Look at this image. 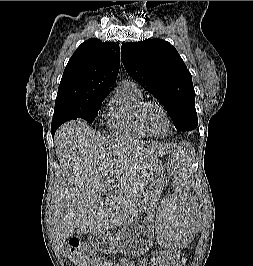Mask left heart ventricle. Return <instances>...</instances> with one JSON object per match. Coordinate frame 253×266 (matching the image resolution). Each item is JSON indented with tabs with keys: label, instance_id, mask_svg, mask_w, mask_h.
I'll list each match as a JSON object with an SVG mask.
<instances>
[{
	"label": "left heart ventricle",
	"instance_id": "b2bd125f",
	"mask_svg": "<svg viewBox=\"0 0 253 266\" xmlns=\"http://www.w3.org/2000/svg\"><path fill=\"white\" fill-rule=\"evenodd\" d=\"M144 121L149 130L156 135H163L167 130L166 117L161 109L155 105L146 108Z\"/></svg>",
	"mask_w": 253,
	"mask_h": 266
}]
</instances>
